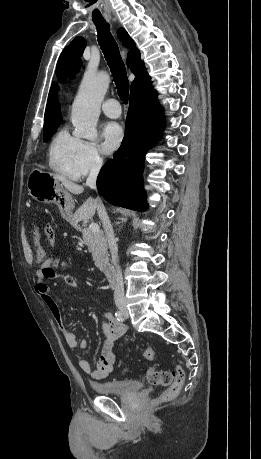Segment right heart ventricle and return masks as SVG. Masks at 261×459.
Returning a JSON list of instances; mask_svg holds the SVG:
<instances>
[{
	"mask_svg": "<svg viewBox=\"0 0 261 459\" xmlns=\"http://www.w3.org/2000/svg\"><path fill=\"white\" fill-rule=\"evenodd\" d=\"M80 139L72 136L67 128L59 129L52 137L48 149L50 168L68 179H78L75 167Z\"/></svg>",
	"mask_w": 261,
	"mask_h": 459,
	"instance_id": "e07e8e85",
	"label": "right heart ventricle"
}]
</instances>
